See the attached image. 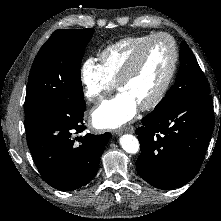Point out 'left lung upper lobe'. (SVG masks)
<instances>
[{
  "instance_id": "1",
  "label": "left lung upper lobe",
  "mask_w": 221,
  "mask_h": 221,
  "mask_svg": "<svg viewBox=\"0 0 221 221\" xmlns=\"http://www.w3.org/2000/svg\"><path fill=\"white\" fill-rule=\"evenodd\" d=\"M180 61V69L174 85L156 107L167 105L177 98L210 94L209 84L204 73L186 42H183L180 48Z\"/></svg>"
}]
</instances>
